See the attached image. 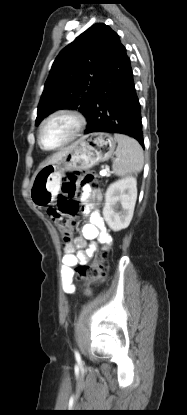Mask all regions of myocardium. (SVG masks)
<instances>
[{
  "instance_id": "f54148a6",
  "label": "myocardium",
  "mask_w": 187,
  "mask_h": 415,
  "mask_svg": "<svg viewBox=\"0 0 187 415\" xmlns=\"http://www.w3.org/2000/svg\"><path fill=\"white\" fill-rule=\"evenodd\" d=\"M59 116H66V117H70L71 119L74 120L75 122V128L72 132V134L70 135V137L65 140L63 143L54 146V147H47L43 144L42 141V132L44 129V126L52 119L59 117ZM86 126V119L85 117L78 112L77 110L74 109H70V108H59L56 109L54 111H52L51 113H49L40 123L39 127H38V134H37V139H38V143L40 145L41 148H43L44 150H48V151H54V150H58L61 149L69 144H71L75 139L78 138V136L81 134V132L83 131V129Z\"/></svg>"
}]
</instances>
